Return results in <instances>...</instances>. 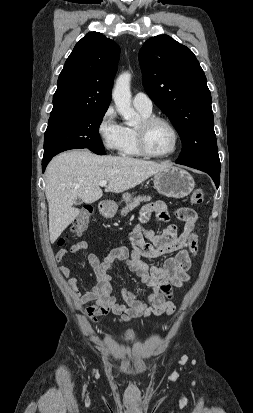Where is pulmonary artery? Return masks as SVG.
<instances>
[{
	"instance_id": "e3ab8cb5",
	"label": "pulmonary artery",
	"mask_w": 253,
	"mask_h": 413,
	"mask_svg": "<svg viewBox=\"0 0 253 413\" xmlns=\"http://www.w3.org/2000/svg\"><path fill=\"white\" fill-rule=\"evenodd\" d=\"M133 105L136 109L152 112L153 103L152 100L143 92H138L133 97Z\"/></svg>"
}]
</instances>
